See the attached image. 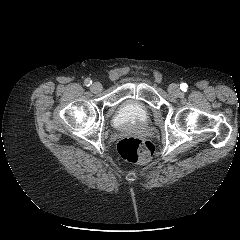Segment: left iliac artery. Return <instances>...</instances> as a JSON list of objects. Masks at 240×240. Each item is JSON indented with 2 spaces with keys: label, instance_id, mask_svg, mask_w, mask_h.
<instances>
[{
  "label": "left iliac artery",
  "instance_id": "44dca946",
  "mask_svg": "<svg viewBox=\"0 0 240 240\" xmlns=\"http://www.w3.org/2000/svg\"><path fill=\"white\" fill-rule=\"evenodd\" d=\"M180 89H181L182 91H186V89H187V84L182 83V84L180 85Z\"/></svg>",
  "mask_w": 240,
  "mask_h": 240
}]
</instances>
